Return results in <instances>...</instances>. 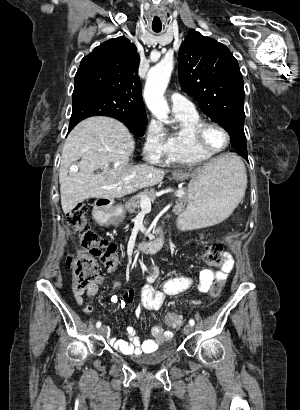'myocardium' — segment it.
Segmentation results:
<instances>
[{
  "mask_svg": "<svg viewBox=\"0 0 300 410\" xmlns=\"http://www.w3.org/2000/svg\"><path fill=\"white\" fill-rule=\"evenodd\" d=\"M211 126H215V127L219 128L225 134L226 144L222 148L213 149V148H210L207 145V143L205 141V131L208 127H211ZM193 137H194V141H195L196 146L200 150H202V151H204L208 154H211V155H215V154H218V153H221V152L225 151L231 143L230 132L228 131V129L223 124H221L220 122H217V121H202L196 127Z\"/></svg>",
  "mask_w": 300,
  "mask_h": 410,
  "instance_id": "f54148a6",
  "label": "myocardium"
}]
</instances>
